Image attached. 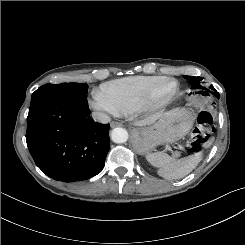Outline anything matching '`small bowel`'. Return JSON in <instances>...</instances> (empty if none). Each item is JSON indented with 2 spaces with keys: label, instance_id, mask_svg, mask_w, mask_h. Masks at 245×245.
<instances>
[{
  "label": "small bowel",
  "instance_id": "small-bowel-1",
  "mask_svg": "<svg viewBox=\"0 0 245 245\" xmlns=\"http://www.w3.org/2000/svg\"><path fill=\"white\" fill-rule=\"evenodd\" d=\"M188 106L193 111L209 113L216 109L217 102L211 92L197 90L190 94Z\"/></svg>",
  "mask_w": 245,
  "mask_h": 245
}]
</instances>
